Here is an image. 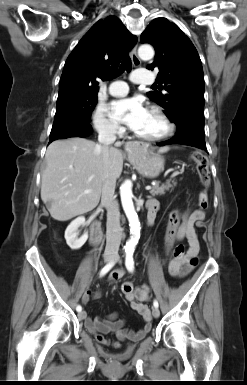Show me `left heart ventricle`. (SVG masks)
<instances>
[{"instance_id": "b2bd125f", "label": "left heart ventricle", "mask_w": 247, "mask_h": 385, "mask_svg": "<svg viewBox=\"0 0 247 385\" xmlns=\"http://www.w3.org/2000/svg\"><path fill=\"white\" fill-rule=\"evenodd\" d=\"M165 125L154 113L148 111L146 118L135 132L142 136H157L164 132Z\"/></svg>"}]
</instances>
